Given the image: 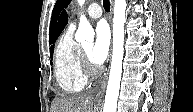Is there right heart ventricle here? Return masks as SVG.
I'll return each instance as SVG.
<instances>
[{
  "label": "right heart ventricle",
  "instance_id": "right-heart-ventricle-1",
  "mask_svg": "<svg viewBox=\"0 0 193 112\" xmlns=\"http://www.w3.org/2000/svg\"><path fill=\"white\" fill-rule=\"evenodd\" d=\"M74 27L69 26L58 40L54 53V74L59 88L67 94L84 90L87 77L80 63V45L73 37Z\"/></svg>",
  "mask_w": 193,
  "mask_h": 112
}]
</instances>
